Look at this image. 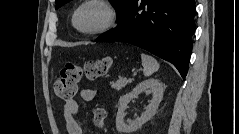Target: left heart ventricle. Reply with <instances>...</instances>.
<instances>
[{
  "label": "left heart ventricle",
  "mask_w": 239,
  "mask_h": 134,
  "mask_svg": "<svg viewBox=\"0 0 239 134\" xmlns=\"http://www.w3.org/2000/svg\"><path fill=\"white\" fill-rule=\"evenodd\" d=\"M104 11L96 6H89L80 11L77 17L78 26L84 30L94 29L104 21Z\"/></svg>",
  "instance_id": "b2bd125f"
}]
</instances>
